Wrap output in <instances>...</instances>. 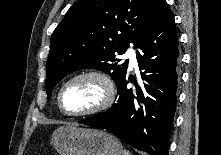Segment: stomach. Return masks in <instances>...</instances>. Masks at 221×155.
Here are the masks:
<instances>
[{
	"mask_svg": "<svg viewBox=\"0 0 221 155\" xmlns=\"http://www.w3.org/2000/svg\"><path fill=\"white\" fill-rule=\"evenodd\" d=\"M59 155H121L122 145L113 135L98 129L60 126L52 135Z\"/></svg>",
	"mask_w": 221,
	"mask_h": 155,
	"instance_id": "stomach-1",
	"label": "stomach"
}]
</instances>
